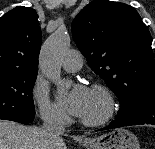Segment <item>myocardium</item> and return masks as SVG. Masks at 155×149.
Wrapping results in <instances>:
<instances>
[{
  "label": "myocardium",
  "mask_w": 155,
  "mask_h": 149,
  "mask_svg": "<svg viewBox=\"0 0 155 149\" xmlns=\"http://www.w3.org/2000/svg\"><path fill=\"white\" fill-rule=\"evenodd\" d=\"M91 90L96 92L102 98L104 112L100 117L95 119H85L80 117L79 120L82 124L87 126L102 125L113 117L116 108V99L112 91L102 84H94Z\"/></svg>",
  "instance_id": "myocardium-1"
}]
</instances>
